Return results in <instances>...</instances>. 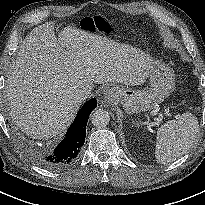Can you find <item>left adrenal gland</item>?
Listing matches in <instances>:
<instances>
[{"instance_id": "a2214340", "label": "left adrenal gland", "mask_w": 205, "mask_h": 205, "mask_svg": "<svg viewBox=\"0 0 205 205\" xmlns=\"http://www.w3.org/2000/svg\"><path fill=\"white\" fill-rule=\"evenodd\" d=\"M132 123L139 125V122L134 121L133 119H132Z\"/></svg>"}]
</instances>
